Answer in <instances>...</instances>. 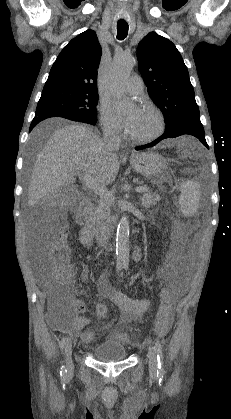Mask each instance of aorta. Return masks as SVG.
Masks as SVG:
<instances>
[{
    "label": "aorta",
    "mask_w": 231,
    "mask_h": 419,
    "mask_svg": "<svg viewBox=\"0 0 231 419\" xmlns=\"http://www.w3.org/2000/svg\"><path fill=\"white\" fill-rule=\"evenodd\" d=\"M135 58L131 55L121 54L114 57L107 75V85L120 109L129 106L124 96V83L131 74L135 65ZM129 233L130 226L127 216H123L118 224L116 233V256L117 264L127 267L129 264Z\"/></svg>",
    "instance_id": "obj_1"
}]
</instances>
